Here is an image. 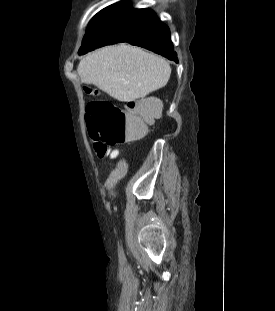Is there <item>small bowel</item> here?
Masks as SVG:
<instances>
[{
    "mask_svg": "<svg viewBox=\"0 0 275 311\" xmlns=\"http://www.w3.org/2000/svg\"><path fill=\"white\" fill-rule=\"evenodd\" d=\"M117 152H115V155ZM113 155V156H115ZM121 162H119V165H122V162H128L129 157L128 155H121L120 157ZM131 170L130 169H111L110 174L112 178V183L114 184L116 181L115 180H125L126 176L131 175ZM112 200L115 198L113 195L110 197Z\"/></svg>",
    "mask_w": 275,
    "mask_h": 311,
    "instance_id": "1",
    "label": "small bowel"
}]
</instances>
